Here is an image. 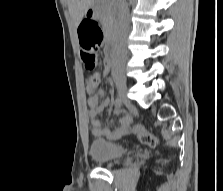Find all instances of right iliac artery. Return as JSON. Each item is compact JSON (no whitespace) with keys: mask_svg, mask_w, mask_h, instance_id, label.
<instances>
[{"mask_svg":"<svg viewBox=\"0 0 223 191\" xmlns=\"http://www.w3.org/2000/svg\"><path fill=\"white\" fill-rule=\"evenodd\" d=\"M115 105L121 107L122 106V100L120 97H117L116 100H115Z\"/></svg>","mask_w":223,"mask_h":191,"instance_id":"obj_1","label":"right iliac artery"}]
</instances>
